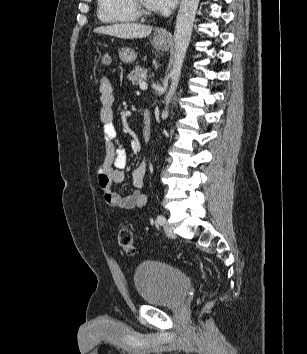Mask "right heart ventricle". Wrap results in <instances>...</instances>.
<instances>
[{
    "instance_id": "e07e8e85",
    "label": "right heart ventricle",
    "mask_w": 307,
    "mask_h": 354,
    "mask_svg": "<svg viewBox=\"0 0 307 354\" xmlns=\"http://www.w3.org/2000/svg\"><path fill=\"white\" fill-rule=\"evenodd\" d=\"M97 15L104 23H128L139 18L131 0H97Z\"/></svg>"
}]
</instances>
